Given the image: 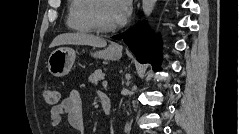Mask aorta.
Segmentation results:
<instances>
[{
    "label": "aorta",
    "instance_id": "obj_1",
    "mask_svg": "<svg viewBox=\"0 0 239 134\" xmlns=\"http://www.w3.org/2000/svg\"><path fill=\"white\" fill-rule=\"evenodd\" d=\"M156 2L157 0H142V9L146 19L152 14Z\"/></svg>",
    "mask_w": 239,
    "mask_h": 134
}]
</instances>
